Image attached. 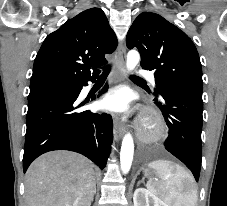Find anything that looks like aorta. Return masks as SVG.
Segmentation results:
<instances>
[{
  "label": "aorta",
  "mask_w": 227,
  "mask_h": 206,
  "mask_svg": "<svg viewBox=\"0 0 227 206\" xmlns=\"http://www.w3.org/2000/svg\"><path fill=\"white\" fill-rule=\"evenodd\" d=\"M140 61V55L137 51L131 50L127 54L126 69L128 72H132ZM134 154V142L132 135L127 133L123 140L120 152V164L121 170L124 174H127L131 168Z\"/></svg>",
  "instance_id": "1"
}]
</instances>
